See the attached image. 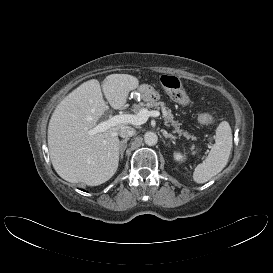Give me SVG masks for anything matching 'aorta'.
Instances as JSON below:
<instances>
[{"instance_id":"aorta-1","label":"aorta","mask_w":273,"mask_h":273,"mask_svg":"<svg viewBox=\"0 0 273 273\" xmlns=\"http://www.w3.org/2000/svg\"><path fill=\"white\" fill-rule=\"evenodd\" d=\"M144 141L148 146H153L158 142V136L154 132H146L144 135Z\"/></svg>"}]
</instances>
